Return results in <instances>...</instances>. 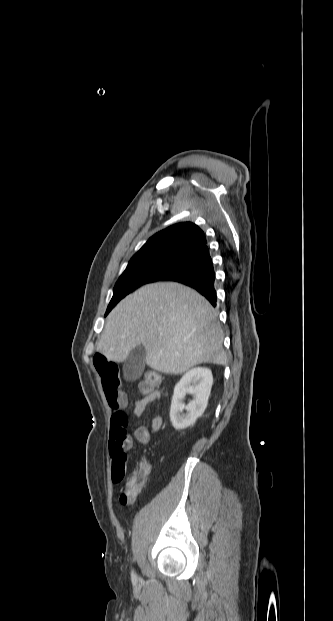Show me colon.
<instances>
[{
	"instance_id": "colon-1",
	"label": "colon",
	"mask_w": 333,
	"mask_h": 621,
	"mask_svg": "<svg viewBox=\"0 0 333 621\" xmlns=\"http://www.w3.org/2000/svg\"><path fill=\"white\" fill-rule=\"evenodd\" d=\"M146 381L154 388H159L162 382L161 376L154 370H149L145 375ZM150 466L147 461H141L126 479L120 502L123 505L132 503L146 484ZM126 468L115 465L112 468V480L120 483L124 480Z\"/></svg>"
}]
</instances>
